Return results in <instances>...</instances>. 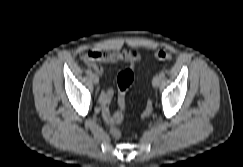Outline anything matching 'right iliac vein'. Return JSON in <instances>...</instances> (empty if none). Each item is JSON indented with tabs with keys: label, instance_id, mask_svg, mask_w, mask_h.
I'll return each instance as SVG.
<instances>
[{
	"label": "right iliac vein",
	"instance_id": "1",
	"mask_svg": "<svg viewBox=\"0 0 243 167\" xmlns=\"http://www.w3.org/2000/svg\"><path fill=\"white\" fill-rule=\"evenodd\" d=\"M91 80L95 85L99 83V77L96 74L91 75Z\"/></svg>",
	"mask_w": 243,
	"mask_h": 167
}]
</instances>
